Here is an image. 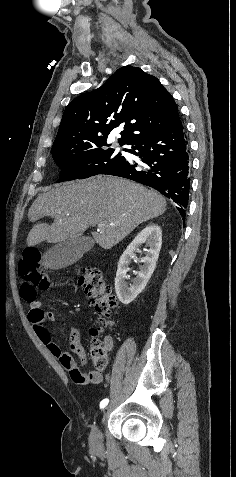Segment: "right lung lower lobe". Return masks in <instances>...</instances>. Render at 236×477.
Segmentation results:
<instances>
[{
	"label": "right lung lower lobe",
	"instance_id": "obj_1",
	"mask_svg": "<svg viewBox=\"0 0 236 477\" xmlns=\"http://www.w3.org/2000/svg\"><path fill=\"white\" fill-rule=\"evenodd\" d=\"M125 149L140 163L125 160L108 175L131 179L158 190L172 199L180 215L185 217L190 189V155L188 139L179 118L162 131L139 138Z\"/></svg>",
	"mask_w": 236,
	"mask_h": 477
}]
</instances>
